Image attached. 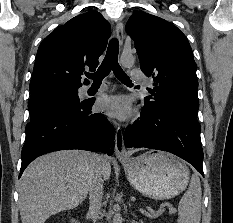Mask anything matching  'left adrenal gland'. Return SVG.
Listing matches in <instances>:
<instances>
[{"label": "left adrenal gland", "mask_w": 233, "mask_h": 223, "mask_svg": "<svg viewBox=\"0 0 233 223\" xmlns=\"http://www.w3.org/2000/svg\"><path fill=\"white\" fill-rule=\"evenodd\" d=\"M131 213H133V215H135L134 211H131Z\"/></svg>", "instance_id": "1"}]
</instances>
